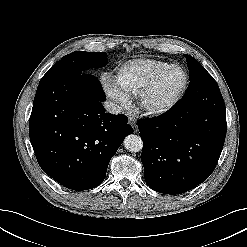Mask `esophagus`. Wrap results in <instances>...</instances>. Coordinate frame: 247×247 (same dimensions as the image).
Returning <instances> with one entry per match:
<instances>
[{"label":"esophagus","mask_w":247,"mask_h":247,"mask_svg":"<svg viewBox=\"0 0 247 247\" xmlns=\"http://www.w3.org/2000/svg\"><path fill=\"white\" fill-rule=\"evenodd\" d=\"M128 122L133 127V129L136 131L137 130V122H136V120L133 117H129Z\"/></svg>","instance_id":"esophagus-1"}]
</instances>
